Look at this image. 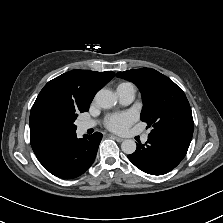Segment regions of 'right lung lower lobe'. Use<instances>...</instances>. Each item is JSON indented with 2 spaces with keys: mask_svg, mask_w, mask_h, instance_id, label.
I'll use <instances>...</instances> for the list:
<instances>
[{
  "mask_svg": "<svg viewBox=\"0 0 223 223\" xmlns=\"http://www.w3.org/2000/svg\"><path fill=\"white\" fill-rule=\"evenodd\" d=\"M101 139L99 132L85 139H78L75 133L36 156L51 174L63 179L76 178L92 165Z\"/></svg>",
  "mask_w": 223,
  "mask_h": 223,
  "instance_id": "98d812e1",
  "label": "right lung lower lobe"
}]
</instances>
